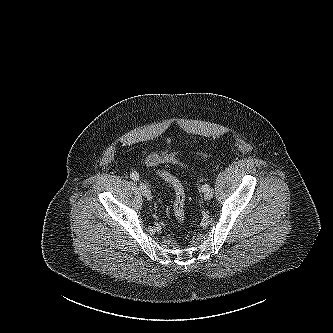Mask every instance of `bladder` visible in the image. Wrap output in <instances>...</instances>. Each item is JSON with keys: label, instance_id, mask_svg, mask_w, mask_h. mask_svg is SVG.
<instances>
[{"label": "bladder", "instance_id": "obj_1", "mask_svg": "<svg viewBox=\"0 0 333 333\" xmlns=\"http://www.w3.org/2000/svg\"><path fill=\"white\" fill-rule=\"evenodd\" d=\"M176 161L175 154L168 151L150 153L145 159L148 168H156L162 164L175 163Z\"/></svg>", "mask_w": 333, "mask_h": 333}]
</instances>
